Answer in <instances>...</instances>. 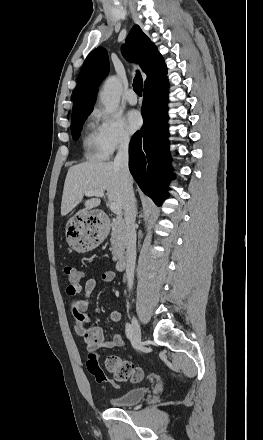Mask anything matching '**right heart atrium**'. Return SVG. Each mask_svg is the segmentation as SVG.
I'll return each mask as SVG.
<instances>
[{"instance_id": "d8ad5b80", "label": "right heart atrium", "mask_w": 263, "mask_h": 440, "mask_svg": "<svg viewBox=\"0 0 263 440\" xmlns=\"http://www.w3.org/2000/svg\"><path fill=\"white\" fill-rule=\"evenodd\" d=\"M98 119L97 133L101 148L106 156L129 146L131 137L118 115L95 112Z\"/></svg>"}]
</instances>
